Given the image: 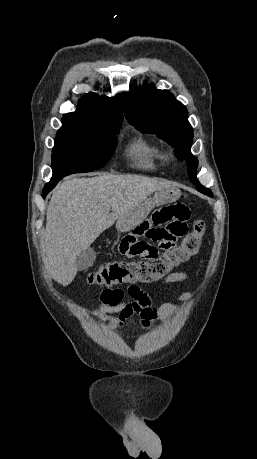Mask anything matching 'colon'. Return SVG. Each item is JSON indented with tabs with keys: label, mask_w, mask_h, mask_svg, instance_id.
Masks as SVG:
<instances>
[{
	"label": "colon",
	"mask_w": 257,
	"mask_h": 459,
	"mask_svg": "<svg viewBox=\"0 0 257 459\" xmlns=\"http://www.w3.org/2000/svg\"><path fill=\"white\" fill-rule=\"evenodd\" d=\"M193 229L194 234L192 236H182L183 239L177 243L179 247L176 251H163L159 254L157 261H144L143 264H122L121 260L110 262L92 271L87 280L96 286L155 280L168 269L197 252L205 235V222L203 220L195 221Z\"/></svg>",
	"instance_id": "1"
}]
</instances>
